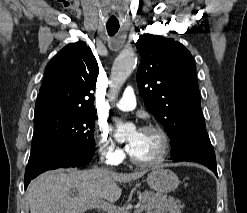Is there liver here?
Returning a JSON list of instances; mask_svg holds the SVG:
<instances>
[{
	"mask_svg": "<svg viewBox=\"0 0 247 213\" xmlns=\"http://www.w3.org/2000/svg\"><path fill=\"white\" fill-rule=\"evenodd\" d=\"M145 171L116 173L104 169L49 171L34 179L27 190L30 213H85L96 200L116 202L118 183L139 179ZM75 190L71 195L70 191Z\"/></svg>",
	"mask_w": 247,
	"mask_h": 213,
	"instance_id": "obj_1",
	"label": "liver"
}]
</instances>
